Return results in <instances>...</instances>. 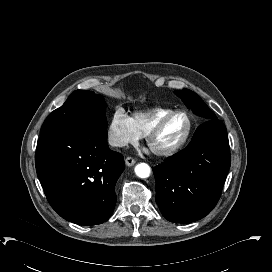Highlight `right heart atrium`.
I'll return each mask as SVG.
<instances>
[{"instance_id":"right-heart-atrium-1","label":"right heart atrium","mask_w":272,"mask_h":272,"mask_svg":"<svg viewBox=\"0 0 272 272\" xmlns=\"http://www.w3.org/2000/svg\"><path fill=\"white\" fill-rule=\"evenodd\" d=\"M140 136V131L132 117L122 109L113 113L108 123V139L112 146L124 147L136 142Z\"/></svg>"}]
</instances>
